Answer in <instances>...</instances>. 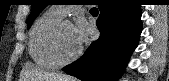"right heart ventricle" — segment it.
<instances>
[{"label":"right heart ventricle","instance_id":"e07e8e85","mask_svg":"<svg viewBox=\"0 0 169 81\" xmlns=\"http://www.w3.org/2000/svg\"><path fill=\"white\" fill-rule=\"evenodd\" d=\"M63 17L53 9L44 12L34 23L29 34L28 50L31 59L40 67L56 68L58 63L50 52V36Z\"/></svg>","mask_w":169,"mask_h":81}]
</instances>
